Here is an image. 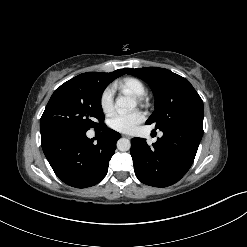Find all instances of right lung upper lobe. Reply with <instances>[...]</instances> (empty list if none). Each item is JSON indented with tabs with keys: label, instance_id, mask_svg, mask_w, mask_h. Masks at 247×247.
I'll return each instance as SVG.
<instances>
[{
	"label": "right lung upper lobe",
	"instance_id": "cb5924a9",
	"mask_svg": "<svg viewBox=\"0 0 247 247\" xmlns=\"http://www.w3.org/2000/svg\"><path fill=\"white\" fill-rule=\"evenodd\" d=\"M124 73H125L124 69H122V70H115L114 72H110V73L89 72L88 74L94 75L97 78H99L101 81L109 84L115 78L123 75Z\"/></svg>",
	"mask_w": 247,
	"mask_h": 247
}]
</instances>
